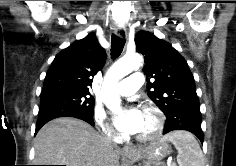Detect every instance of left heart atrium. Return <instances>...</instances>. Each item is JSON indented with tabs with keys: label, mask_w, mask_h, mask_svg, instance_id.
Segmentation results:
<instances>
[{
	"label": "left heart atrium",
	"mask_w": 236,
	"mask_h": 166,
	"mask_svg": "<svg viewBox=\"0 0 236 166\" xmlns=\"http://www.w3.org/2000/svg\"><path fill=\"white\" fill-rule=\"evenodd\" d=\"M114 124L123 134H137L143 126V112L136 107H130L114 117Z\"/></svg>",
	"instance_id": "obj_1"
}]
</instances>
